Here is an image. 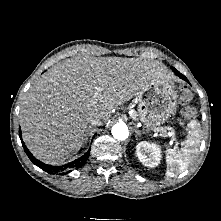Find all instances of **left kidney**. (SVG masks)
Segmentation results:
<instances>
[{"mask_svg":"<svg viewBox=\"0 0 221 221\" xmlns=\"http://www.w3.org/2000/svg\"><path fill=\"white\" fill-rule=\"evenodd\" d=\"M136 154L143 165L154 168L161 160V150L156 144L142 141L136 146Z\"/></svg>","mask_w":221,"mask_h":221,"instance_id":"5707ae66","label":"left kidney"}]
</instances>
